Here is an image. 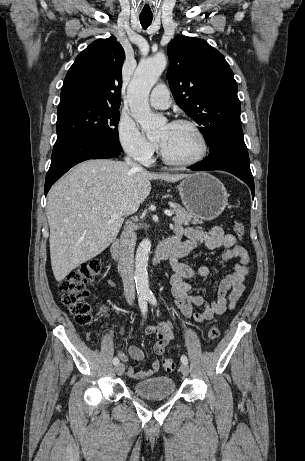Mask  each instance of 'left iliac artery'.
<instances>
[{
    "mask_svg": "<svg viewBox=\"0 0 305 461\" xmlns=\"http://www.w3.org/2000/svg\"><path fill=\"white\" fill-rule=\"evenodd\" d=\"M147 300H148L151 304L157 305V300H156V298H155L154 295H152V294L148 295V296H147ZM181 362H182L183 364H188V359H187V357H186L185 355H182V356H181Z\"/></svg>",
    "mask_w": 305,
    "mask_h": 461,
    "instance_id": "left-iliac-artery-1",
    "label": "left iliac artery"
}]
</instances>
